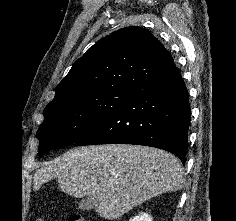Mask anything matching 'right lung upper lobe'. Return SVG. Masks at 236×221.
Wrapping results in <instances>:
<instances>
[{"label": "right lung upper lobe", "instance_id": "right-lung-upper-lobe-1", "mask_svg": "<svg viewBox=\"0 0 236 221\" xmlns=\"http://www.w3.org/2000/svg\"><path fill=\"white\" fill-rule=\"evenodd\" d=\"M174 65L170 52L147 29L122 28L96 42L73 64L46 107L116 88L137 91Z\"/></svg>", "mask_w": 236, "mask_h": 221}]
</instances>
